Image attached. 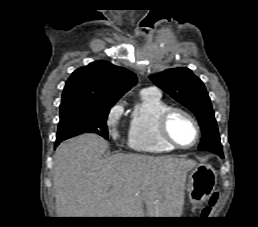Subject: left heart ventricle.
Masks as SVG:
<instances>
[{
    "label": "left heart ventricle",
    "instance_id": "1",
    "mask_svg": "<svg viewBox=\"0 0 258 227\" xmlns=\"http://www.w3.org/2000/svg\"><path fill=\"white\" fill-rule=\"evenodd\" d=\"M169 130L172 137L181 145L187 146L193 143L196 131L191 121L181 115L175 114L169 122Z\"/></svg>",
    "mask_w": 258,
    "mask_h": 227
}]
</instances>
